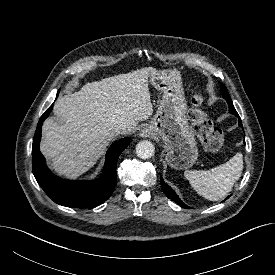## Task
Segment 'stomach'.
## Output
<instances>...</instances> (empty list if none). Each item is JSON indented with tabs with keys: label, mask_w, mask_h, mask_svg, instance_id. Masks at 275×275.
Masks as SVG:
<instances>
[{
	"label": "stomach",
	"mask_w": 275,
	"mask_h": 275,
	"mask_svg": "<svg viewBox=\"0 0 275 275\" xmlns=\"http://www.w3.org/2000/svg\"><path fill=\"white\" fill-rule=\"evenodd\" d=\"M153 87L162 93L158 109L145 130L164 143L167 163L174 169H187L197 160L198 148L187 118V103L178 70H154Z\"/></svg>",
	"instance_id": "1"
}]
</instances>
